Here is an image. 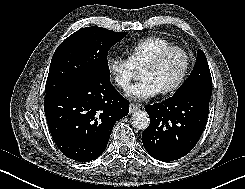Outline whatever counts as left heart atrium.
<instances>
[{"label":"left heart atrium","instance_id":"obj_1","mask_svg":"<svg viewBox=\"0 0 245 189\" xmlns=\"http://www.w3.org/2000/svg\"><path fill=\"white\" fill-rule=\"evenodd\" d=\"M160 92L150 80L144 79L132 85L126 94L134 100L143 101L155 97Z\"/></svg>","mask_w":245,"mask_h":189}]
</instances>
